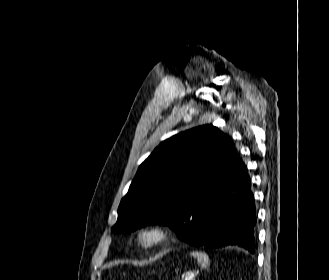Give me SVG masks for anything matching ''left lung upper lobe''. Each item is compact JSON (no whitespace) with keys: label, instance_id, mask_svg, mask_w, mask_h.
<instances>
[{"label":"left lung upper lobe","instance_id":"1","mask_svg":"<svg viewBox=\"0 0 329 280\" xmlns=\"http://www.w3.org/2000/svg\"><path fill=\"white\" fill-rule=\"evenodd\" d=\"M236 155L232 140L212 125L165 140L140 165L111 231L127 233L149 222L182 226L225 185L224 172Z\"/></svg>","mask_w":329,"mask_h":280}]
</instances>
